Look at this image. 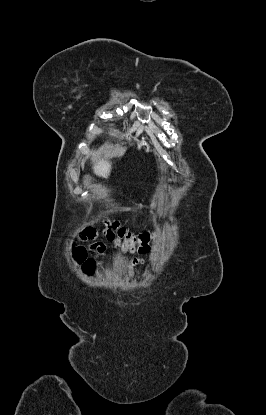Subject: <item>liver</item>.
<instances>
[{
    "instance_id": "1",
    "label": "liver",
    "mask_w": 266,
    "mask_h": 415,
    "mask_svg": "<svg viewBox=\"0 0 266 415\" xmlns=\"http://www.w3.org/2000/svg\"><path fill=\"white\" fill-rule=\"evenodd\" d=\"M111 169V163L106 160H100L94 167V173L98 176L107 177Z\"/></svg>"
}]
</instances>
